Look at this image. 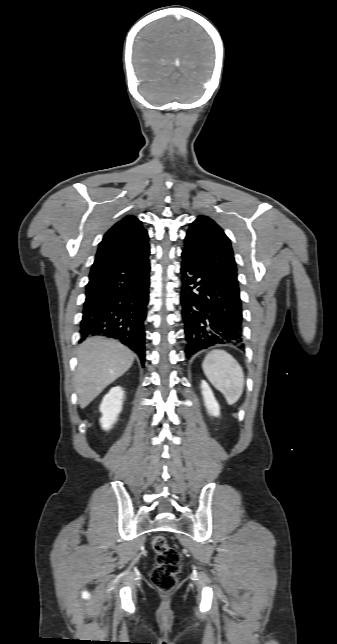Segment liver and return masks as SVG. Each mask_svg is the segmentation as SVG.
<instances>
[{
    "label": "liver",
    "instance_id": "6515ba94",
    "mask_svg": "<svg viewBox=\"0 0 337 644\" xmlns=\"http://www.w3.org/2000/svg\"><path fill=\"white\" fill-rule=\"evenodd\" d=\"M75 391L82 409L109 384L129 370L134 353L118 341L103 337L86 339L78 348Z\"/></svg>",
    "mask_w": 337,
    "mask_h": 644
}]
</instances>
